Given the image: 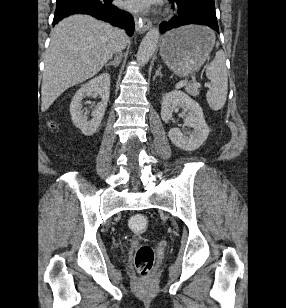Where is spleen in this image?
<instances>
[{
	"mask_svg": "<svg viewBox=\"0 0 286 308\" xmlns=\"http://www.w3.org/2000/svg\"><path fill=\"white\" fill-rule=\"evenodd\" d=\"M218 46L219 43H216V47ZM205 68L206 76L210 80L206 100L212 110L218 111L224 107L228 92V76L224 52L217 51L213 61Z\"/></svg>",
	"mask_w": 286,
	"mask_h": 308,
	"instance_id": "obj_1",
	"label": "spleen"
}]
</instances>
